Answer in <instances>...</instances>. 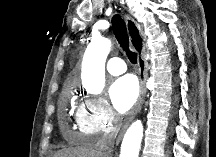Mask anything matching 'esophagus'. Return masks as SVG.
Returning a JSON list of instances; mask_svg holds the SVG:
<instances>
[{
    "instance_id": "obj_1",
    "label": "esophagus",
    "mask_w": 216,
    "mask_h": 157,
    "mask_svg": "<svg viewBox=\"0 0 216 157\" xmlns=\"http://www.w3.org/2000/svg\"><path fill=\"white\" fill-rule=\"evenodd\" d=\"M124 19L126 22V26H127V30H128L130 39L132 41L134 48L136 49V47H138V46L136 44H134L132 37L134 35V29L136 28L138 30V26L129 15H124ZM136 51H137L138 56H139L138 64H139V69H140V95L138 97L136 104L134 105V107L132 109L130 117L128 118V120L126 121L124 126L122 127V129H121V131L117 137V140H116L117 144L120 142L125 130L127 129L130 122L133 120L134 116L141 109V106H142L143 101H144L145 93H146V88H145L146 67H145V61L142 58V52L144 51V45L142 44V48L140 51H138L137 49H136Z\"/></svg>"
}]
</instances>
